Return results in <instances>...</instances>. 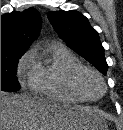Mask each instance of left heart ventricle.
<instances>
[{
  "mask_svg": "<svg viewBox=\"0 0 123 130\" xmlns=\"http://www.w3.org/2000/svg\"><path fill=\"white\" fill-rule=\"evenodd\" d=\"M88 87L92 94H97L99 91V85L94 79H90L88 82Z\"/></svg>",
  "mask_w": 123,
  "mask_h": 130,
  "instance_id": "b2bd125f",
  "label": "left heart ventricle"
}]
</instances>
